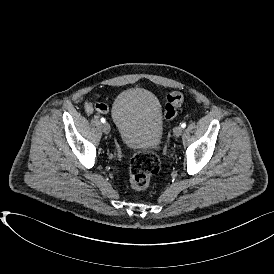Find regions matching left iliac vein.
Masks as SVG:
<instances>
[{
  "label": "left iliac vein",
  "mask_w": 274,
  "mask_h": 274,
  "mask_svg": "<svg viewBox=\"0 0 274 274\" xmlns=\"http://www.w3.org/2000/svg\"><path fill=\"white\" fill-rule=\"evenodd\" d=\"M182 131H183L182 127H181V126H177V127H175V128L173 129V135H174L175 137H179V136H181Z\"/></svg>",
  "instance_id": "1"
}]
</instances>
